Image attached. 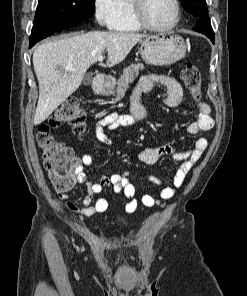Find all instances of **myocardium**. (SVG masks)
<instances>
[{"instance_id": "myocardium-1", "label": "myocardium", "mask_w": 247, "mask_h": 296, "mask_svg": "<svg viewBox=\"0 0 247 296\" xmlns=\"http://www.w3.org/2000/svg\"><path fill=\"white\" fill-rule=\"evenodd\" d=\"M173 6H174V17L170 24L164 26V27H157L151 25L145 18V3L146 0H131V7L133 12V17L135 22L138 24V26L142 29L152 31V32H167L172 29H174L179 21L181 16V6L179 3V0H171Z\"/></svg>"}]
</instances>
